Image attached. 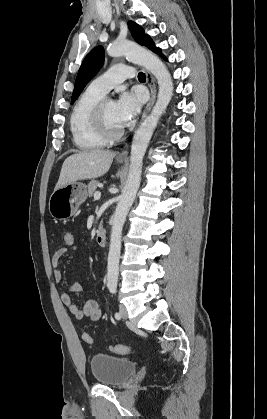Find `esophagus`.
Segmentation results:
<instances>
[{
	"label": "esophagus",
	"instance_id": "obj_1",
	"mask_svg": "<svg viewBox=\"0 0 267 419\" xmlns=\"http://www.w3.org/2000/svg\"><path fill=\"white\" fill-rule=\"evenodd\" d=\"M146 79H147V84H148V86H149V89H150V100H149V102L147 103V106H146V108H145V110H144V113H143V116H142V119H144L146 116H147V114L149 113V111L151 110V108H152V106H153V104H154V102H155V99H156V85H155V79L153 78V76L151 75V73L150 72H148V71H146ZM118 159H127L128 158V148H126V149H124L123 151H121L119 154H118Z\"/></svg>",
	"mask_w": 267,
	"mask_h": 419
}]
</instances>
